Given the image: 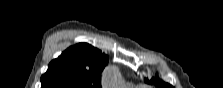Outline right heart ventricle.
Here are the masks:
<instances>
[{"instance_id":"1","label":"right heart ventricle","mask_w":223,"mask_h":88,"mask_svg":"<svg viewBox=\"0 0 223 88\" xmlns=\"http://www.w3.org/2000/svg\"><path fill=\"white\" fill-rule=\"evenodd\" d=\"M136 88H146V87H144V86H139V87H136Z\"/></svg>"}]
</instances>
